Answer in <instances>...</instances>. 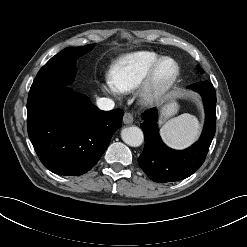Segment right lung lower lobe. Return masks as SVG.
<instances>
[{"instance_id": "1", "label": "right lung lower lobe", "mask_w": 247, "mask_h": 247, "mask_svg": "<svg viewBox=\"0 0 247 247\" xmlns=\"http://www.w3.org/2000/svg\"><path fill=\"white\" fill-rule=\"evenodd\" d=\"M124 111H102L67 86H31L28 135L42 164L55 174L90 170L121 127Z\"/></svg>"}]
</instances>
